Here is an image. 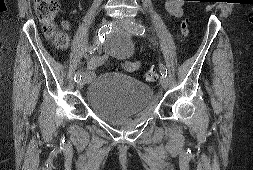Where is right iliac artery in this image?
<instances>
[{
	"mask_svg": "<svg viewBox=\"0 0 253 170\" xmlns=\"http://www.w3.org/2000/svg\"><path fill=\"white\" fill-rule=\"evenodd\" d=\"M110 26L109 25L108 26L105 25V26H103L102 28L99 29V31H98V44H99V41L102 42L103 36H105V34L110 33V31H111V27ZM96 48L97 47L93 48V50L90 51V54H91V52L95 51ZM81 76H82L81 75V71H77L76 74H75L74 80L76 82L80 81L81 80Z\"/></svg>",
	"mask_w": 253,
	"mask_h": 170,
	"instance_id": "1",
	"label": "right iliac artery"
}]
</instances>
